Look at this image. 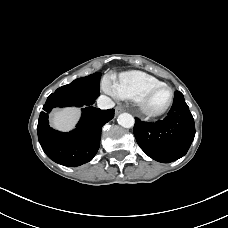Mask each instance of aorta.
Returning a JSON list of instances; mask_svg holds the SVG:
<instances>
[{
    "instance_id": "obj_1",
    "label": "aorta",
    "mask_w": 228,
    "mask_h": 228,
    "mask_svg": "<svg viewBox=\"0 0 228 228\" xmlns=\"http://www.w3.org/2000/svg\"><path fill=\"white\" fill-rule=\"evenodd\" d=\"M118 124L121 125L122 127L124 128H131L134 126V117L129 114V113H121L119 116H118Z\"/></svg>"
}]
</instances>
